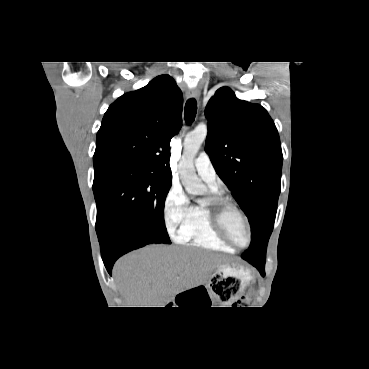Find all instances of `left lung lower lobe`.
<instances>
[{
    "instance_id": "obj_1",
    "label": "left lung lower lobe",
    "mask_w": 369,
    "mask_h": 369,
    "mask_svg": "<svg viewBox=\"0 0 369 369\" xmlns=\"http://www.w3.org/2000/svg\"><path fill=\"white\" fill-rule=\"evenodd\" d=\"M249 263L256 267L262 276H265V261H249Z\"/></svg>"
}]
</instances>
